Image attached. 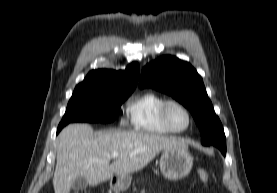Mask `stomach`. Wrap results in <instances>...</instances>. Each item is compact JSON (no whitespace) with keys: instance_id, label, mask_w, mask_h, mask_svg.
Masks as SVG:
<instances>
[{"instance_id":"1","label":"stomach","mask_w":277,"mask_h":193,"mask_svg":"<svg viewBox=\"0 0 277 193\" xmlns=\"http://www.w3.org/2000/svg\"><path fill=\"white\" fill-rule=\"evenodd\" d=\"M193 166V157L188 148H171L163 150L160 158V170L169 180H178L187 176ZM131 185L129 175L111 178L110 186L113 190L122 192Z\"/></svg>"}]
</instances>
